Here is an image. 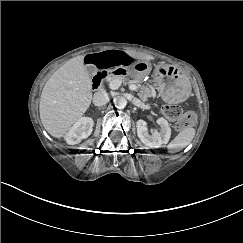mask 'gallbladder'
<instances>
[{"instance_id":"gallbladder-1","label":"gallbladder","mask_w":243,"mask_h":243,"mask_svg":"<svg viewBox=\"0 0 243 243\" xmlns=\"http://www.w3.org/2000/svg\"><path fill=\"white\" fill-rule=\"evenodd\" d=\"M85 71L87 74H92L96 72V67L93 65H86L85 66Z\"/></svg>"}]
</instances>
